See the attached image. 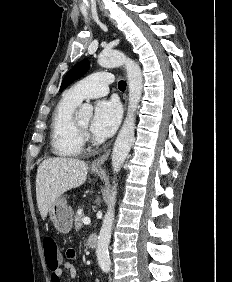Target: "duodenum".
<instances>
[{
	"label": "duodenum",
	"mask_w": 232,
	"mask_h": 282,
	"mask_svg": "<svg viewBox=\"0 0 232 282\" xmlns=\"http://www.w3.org/2000/svg\"><path fill=\"white\" fill-rule=\"evenodd\" d=\"M98 243H99V239L97 235L92 234L88 237L87 244L90 248H93V249L97 248Z\"/></svg>",
	"instance_id": "obj_1"
}]
</instances>
